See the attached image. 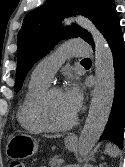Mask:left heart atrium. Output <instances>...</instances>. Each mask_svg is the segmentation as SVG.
Here are the masks:
<instances>
[{"instance_id":"left-heart-atrium-1","label":"left heart atrium","mask_w":125,"mask_h":167,"mask_svg":"<svg viewBox=\"0 0 125 167\" xmlns=\"http://www.w3.org/2000/svg\"><path fill=\"white\" fill-rule=\"evenodd\" d=\"M64 99L72 112L76 114L82 105V92L75 82H70L62 91Z\"/></svg>"}]
</instances>
